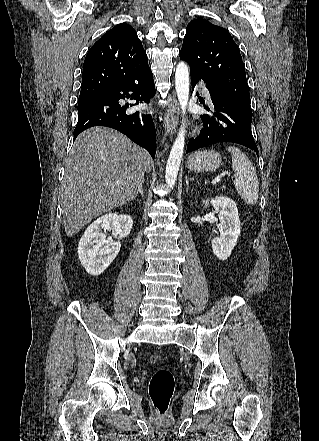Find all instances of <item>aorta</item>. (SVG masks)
I'll list each match as a JSON object with an SVG mask.
<instances>
[{
  "label": "aorta",
  "instance_id": "obj_1",
  "mask_svg": "<svg viewBox=\"0 0 319 441\" xmlns=\"http://www.w3.org/2000/svg\"><path fill=\"white\" fill-rule=\"evenodd\" d=\"M175 88L177 97L182 109V113L185 114L186 106L189 100V67L187 63L181 61L175 71ZM185 145V123L182 124L177 138L170 151L166 171L165 181L167 187L172 189L176 183L180 163L183 157Z\"/></svg>",
  "mask_w": 319,
  "mask_h": 441
}]
</instances>
